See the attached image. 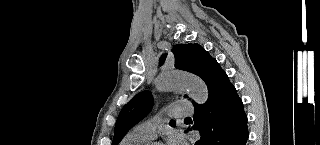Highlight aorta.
I'll use <instances>...</instances> for the list:
<instances>
[{
    "label": "aorta",
    "mask_w": 320,
    "mask_h": 145,
    "mask_svg": "<svg viewBox=\"0 0 320 145\" xmlns=\"http://www.w3.org/2000/svg\"><path fill=\"white\" fill-rule=\"evenodd\" d=\"M155 84L159 91L186 89L198 104H203L208 99V89L205 82L191 74L177 71L162 72L156 78Z\"/></svg>",
    "instance_id": "aorta-1"
}]
</instances>
